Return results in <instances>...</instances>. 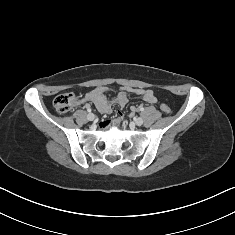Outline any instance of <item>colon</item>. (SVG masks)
Here are the masks:
<instances>
[{
    "label": "colon",
    "mask_w": 235,
    "mask_h": 235,
    "mask_svg": "<svg viewBox=\"0 0 235 235\" xmlns=\"http://www.w3.org/2000/svg\"><path fill=\"white\" fill-rule=\"evenodd\" d=\"M77 104L75 96L71 93L59 94L53 101L54 108L60 114H66L70 112ZM161 110L168 114L171 112L170 107L167 104H161Z\"/></svg>",
    "instance_id": "1"
}]
</instances>
